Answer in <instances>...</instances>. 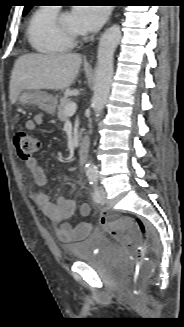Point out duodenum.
I'll return each instance as SVG.
<instances>
[{"instance_id":"obj_1","label":"duodenum","mask_w":184,"mask_h":327,"mask_svg":"<svg viewBox=\"0 0 184 327\" xmlns=\"http://www.w3.org/2000/svg\"><path fill=\"white\" fill-rule=\"evenodd\" d=\"M88 146H89V142L86 138L82 139L78 146V158L82 166L85 164L86 161Z\"/></svg>"}]
</instances>
